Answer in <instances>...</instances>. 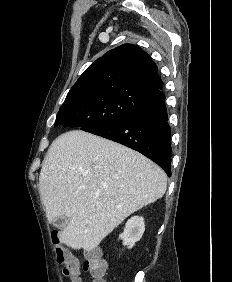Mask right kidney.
<instances>
[{
	"mask_svg": "<svg viewBox=\"0 0 232 282\" xmlns=\"http://www.w3.org/2000/svg\"><path fill=\"white\" fill-rule=\"evenodd\" d=\"M145 231L144 218L134 216L126 223L124 232L119 238L123 240V244L128 248H132L139 241Z\"/></svg>",
	"mask_w": 232,
	"mask_h": 282,
	"instance_id": "ca27d5eb",
	"label": "right kidney"
}]
</instances>
